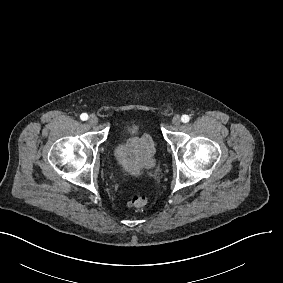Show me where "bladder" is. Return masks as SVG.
<instances>
[{"label":"bladder","instance_id":"1","mask_svg":"<svg viewBox=\"0 0 283 283\" xmlns=\"http://www.w3.org/2000/svg\"><path fill=\"white\" fill-rule=\"evenodd\" d=\"M140 131H141V126L139 124L127 125L121 130L118 139H121L126 136L138 137Z\"/></svg>","mask_w":283,"mask_h":283}]
</instances>
